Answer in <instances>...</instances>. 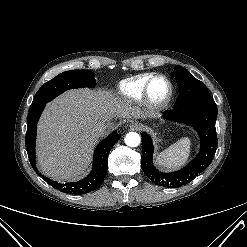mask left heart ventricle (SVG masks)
I'll list each match as a JSON object with an SVG mask.
<instances>
[{
  "instance_id": "b2bd125f",
  "label": "left heart ventricle",
  "mask_w": 247,
  "mask_h": 247,
  "mask_svg": "<svg viewBox=\"0 0 247 247\" xmlns=\"http://www.w3.org/2000/svg\"><path fill=\"white\" fill-rule=\"evenodd\" d=\"M152 95L156 98H162L164 97L167 92H168V85L167 83L162 80H156L153 85H152V89H151Z\"/></svg>"
}]
</instances>
